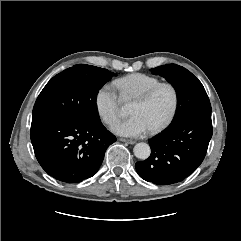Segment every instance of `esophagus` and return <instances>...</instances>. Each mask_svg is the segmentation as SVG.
<instances>
[{"label": "esophagus", "instance_id": "obj_1", "mask_svg": "<svg viewBox=\"0 0 241 241\" xmlns=\"http://www.w3.org/2000/svg\"><path fill=\"white\" fill-rule=\"evenodd\" d=\"M119 140L122 141V142H126L128 144H135L136 143V141L132 140V139L120 138Z\"/></svg>", "mask_w": 241, "mask_h": 241}]
</instances>
